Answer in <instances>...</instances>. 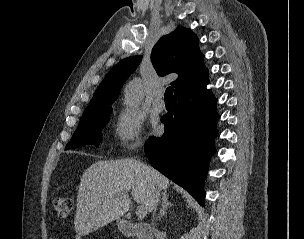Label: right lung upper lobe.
<instances>
[{
    "label": "right lung upper lobe",
    "instance_id": "right-lung-upper-lobe-1",
    "mask_svg": "<svg viewBox=\"0 0 304 239\" xmlns=\"http://www.w3.org/2000/svg\"><path fill=\"white\" fill-rule=\"evenodd\" d=\"M140 60L141 56H131L121 60L111 69L82 116L110 106L119 96L122 85L135 71ZM151 61L161 76L172 72L179 74L177 80L172 82L175 84V92L208 72L203 63L196 34L183 26L160 38L152 50Z\"/></svg>",
    "mask_w": 304,
    "mask_h": 239
}]
</instances>
